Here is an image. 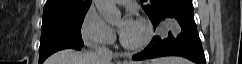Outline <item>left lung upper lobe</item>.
I'll list each match as a JSON object with an SVG mask.
<instances>
[{"instance_id":"1","label":"left lung upper lobe","mask_w":242,"mask_h":64,"mask_svg":"<svg viewBox=\"0 0 242 64\" xmlns=\"http://www.w3.org/2000/svg\"><path fill=\"white\" fill-rule=\"evenodd\" d=\"M191 1L192 0H141V2L146 3L142 5V8L152 23L156 22L166 11Z\"/></svg>"}]
</instances>
